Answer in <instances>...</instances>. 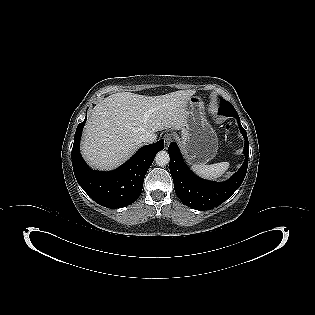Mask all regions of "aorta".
<instances>
[{"label": "aorta", "mask_w": 315, "mask_h": 315, "mask_svg": "<svg viewBox=\"0 0 315 315\" xmlns=\"http://www.w3.org/2000/svg\"><path fill=\"white\" fill-rule=\"evenodd\" d=\"M169 154L166 151H160L155 157V162L158 166H166L169 163Z\"/></svg>", "instance_id": "1"}]
</instances>
